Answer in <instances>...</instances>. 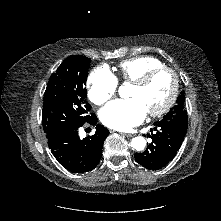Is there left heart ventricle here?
Segmentation results:
<instances>
[{
	"mask_svg": "<svg viewBox=\"0 0 221 221\" xmlns=\"http://www.w3.org/2000/svg\"><path fill=\"white\" fill-rule=\"evenodd\" d=\"M172 85V76L167 72H162L143 87L133 85L130 97L139 98L146 107L147 112L156 110L164 105L169 98Z\"/></svg>",
	"mask_w": 221,
	"mask_h": 221,
	"instance_id": "1",
	"label": "left heart ventricle"
}]
</instances>
